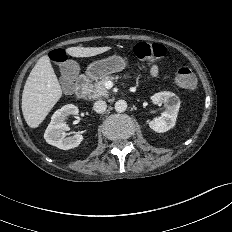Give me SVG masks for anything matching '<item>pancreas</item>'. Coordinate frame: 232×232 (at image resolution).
<instances>
[{"label": "pancreas", "instance_id": "pancreas-1", "mask_svg": "<svg viewBox=\"0 0 232 232\" xmlns=\"http://www.w3.org/2000/svg\"><path fill=\"white\" fill-rule=\"evenodd\" d=\"M119 77L105 76L101 80L96 81L94 84L87 86V94L89 99H98L102 97H108L109 92L105 88L104 84L108 80H117Z\"/></svg>", "mask_w": 232, "mask_h": 232}]
</instances>
